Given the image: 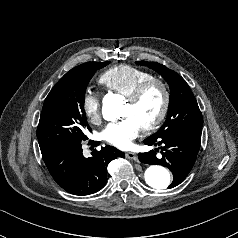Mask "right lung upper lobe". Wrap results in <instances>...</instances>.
<instances>
[{
  "mask_svg": "<svg viewBox=\"0 0 238 238\" xmlns=\"http://www.w3.org/2000/svg\"><path fill=\"white\" fill-rule=\"evenodd\" d=\"M88 63H89V62H88ZM85 64H86V63H84V64H81V65H79V66H77V67H75V68L71 69L69 72L76 71V70H78V69L82 68V67H83Z\"/></svg>",
  "mask_w": 238,
  "mask_h": 238,
  "instance_id": "right-lung-upper-lobe-1",
  "label": "right lung upper lobe"
}]
</instances>
